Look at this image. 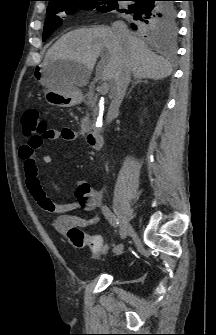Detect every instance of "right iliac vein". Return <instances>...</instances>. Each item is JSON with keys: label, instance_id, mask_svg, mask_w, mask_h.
I'll list each match as a JSON object with an SVG mask.
<instances>
[{"label": "right iliac vein", "instance_id": "1", "mask_svg": "<svg viewBox=\"0 0 216 335\" xmlns=\"http://www.w3.org/2000/svg\"><path fill=\"white\" fill-rule=\"evenodd\" d=\"M131 231H132V228H131L130 223L127 220L123 219L121 230H120V238L122 240L126 239L127 236L131 233Z\"/></svg>", "mask_w": 216, "mask_h": 335}]
</instances>
